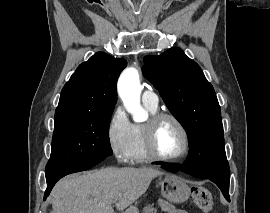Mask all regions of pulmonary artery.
<instances>
[{"instance_id": "pulmonary-artery-1", "label": "pulmonary artery", "mask_w": 270, "mask_h": 213, "mask_svg": "<svg viewBox=\"0 0 270 213\" xmlns=\"http://www.w3.org/2000/svg\"><path fill=\"white\" fill-rule=\"evenodd\" d=\"M142 101L143 103L151 106V107H158V97L155 92L151 90H145L142 94Z\"/></svg>"}]
</instances>
